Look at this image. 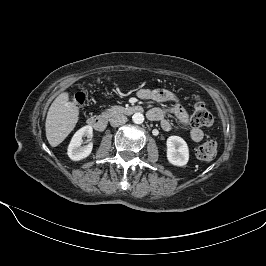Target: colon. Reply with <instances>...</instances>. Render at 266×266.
<instances>
[{
    "mask_svg": "<svg viewBox=\"0 0 266 266\" xmlns=\"http://www.w3.org/2000/svg\"><path fill=\"white\" fill-rule=\"evenodd\" d=\"M72 102L76 106H82L85 101V95L83 92L78 91L71 97ZM213 122L211 113L206 108L203 101L197 99L194 104L192 124L195 127L209 126ZM217 154V142L216 140L209 138L202 142L197 148V156L202 160H211Z\"/></svg>",
    "mask_w": 266,
    "mask_h": 266,
    "instance_id": "5ec220e1",
    "label": "colon"
}]
</instances>
